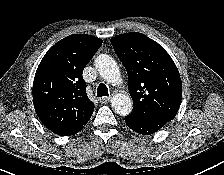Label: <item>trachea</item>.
Returning a JSON list of instances; mask_svg holds the SVG:
<instances>
[{"instance_id": "3493384b", "label": "trachea", "mask_w": 224, "mask_h": 175, "mask_svg": "<svg viewBox=\"0 0 224 175\" xmlns=\"http://www.w3.org/2000/svg\"><path fill=\"white\" fill-rule=\"evenodd\" d=\"M102 96H109V94H108L107 86L103 83H100L97 88V97H102Z\"/></svg>"}]
</instances>
